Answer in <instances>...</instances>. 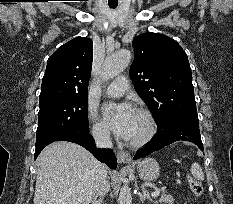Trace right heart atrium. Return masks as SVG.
<instances>
[{
    "instance_id": "obj_1",
    "label": "right heart atrium",
    "mask_w": 233,
    "mask_h": 204,
    "mask_svg": "<svg viewBox=\"0 0 233 204\" xmlns=\"http://www.w3.org/2000/svg\"><path fill=\"white\" fill-rule=\"evenodd\" d=\"M91 123V134L94 140L100 144H107L110 140V134L106 126L100 122L93 111L89 112Z\"/></svg>"
}]
</instances>
